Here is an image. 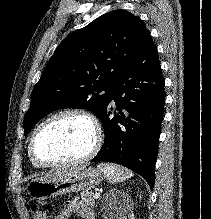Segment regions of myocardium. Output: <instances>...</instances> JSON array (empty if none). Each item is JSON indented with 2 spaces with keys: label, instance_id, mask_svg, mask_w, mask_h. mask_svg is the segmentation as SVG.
<instances>
[{
  "label": "myocardium",
  "instance_id": "f54148a6",
  "mask_svg": "<svg viewBox=\"0 0 211 219\" xmlns=\"http://www.w3.org/2000/svg\"><path fill=\"white\" fill-rule=\"evenodd\" d=\"M63 116H76L79 118L84 119L92 128L93 131V144L89 151L82 156L79 159L71 160V161H62V162H47L39 158L35 152V142L37 140V137L40 133V131L51 121L63 117ZM102 144V131L101 127L96 120V118L83 110L80 109H65L58 111L49 117H47L45 120H43L33 131L32 136L29 141L28 145V153L30 158L40 167L42 168H67V167H75L83 165L87 162H89L91 159H93L97 153L99 152Z\"/></svg>",
  "mask_w": 211,
  "mask_h": 219
}]
</instances>
